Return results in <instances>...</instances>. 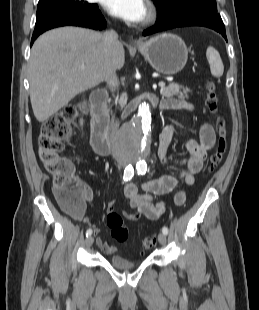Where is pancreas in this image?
Returning a JSON list of instances; mask_svg holds the SVG:
<instances>
[{
    "mask_svg": "<svg viewBox=\"0 0 259 310\" xmlns=\"http://www.w3.org/2000/svg\"><path fill=\"white\" fill-rule=\"evenodd\" d=\"M188 92H189L188 88L175 84V83H170L167 87H163L160 91L161 95L164 97L177 96L180 99L188 98V95H187ZM126 100H127V96L126 94H123L119 100L120 105L125 106Z\"/></svg>",
    "mask_w": 259,
    "mask_h": 310,
    "instance_id": "cf45deb5",
    "label": "pancreas"
}]
</instances>
